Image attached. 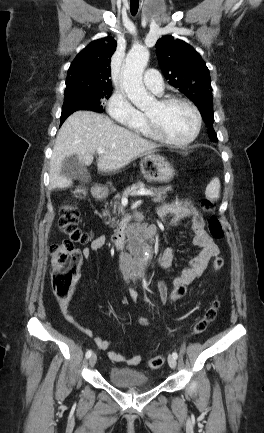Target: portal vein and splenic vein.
Returning <instances> with one entry per match:
<instances>
[{
    "label": "portal vein and splenic vein",
    "instance_id": "obj_1",
    "mask_svg": "<svg viewBox=\"0 0 264 433\" xmlns=\"http://www.w3.org/2000/svg\"><path fill=\"white\" fill-rule=\"evenodd\" d=\"M97 153H98L99 155H103V154L105 153V150L102 149V148H99V149H97ZM136 194H137V195H152L153 192H152V191H149V190H141V191H138ZM122 200H123V201H127V198H126V197H123Z\"/></svg>",
    "mask_w": 264,
    "mask_h": 433
}]
</instances>
